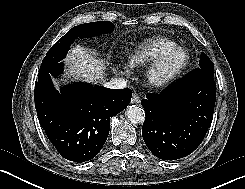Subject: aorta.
I'll use <instances>...</instances> for the list:
<instances>
[{
    "instance_id": "1",
    "label": "aorta",
    "mask_w": 245,
    "mask_h": 189,
    "mask_svg": "<svg viewBox=\"0 0 245 189\" xmlns=\"http://www.w3.org/2000/svg\"><path fill=\"white\" fill-rule=\"evenodd\" d=\"M126 115L129 121L134 124L143 123L145 120L144 109L136 105L129 106L126 110Z\"/></svg>"
}]
</instances>
